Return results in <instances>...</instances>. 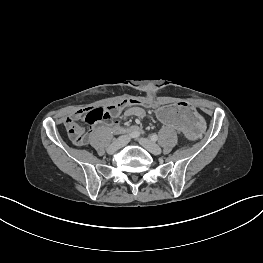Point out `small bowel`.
Wrapping results in <instances>:
<instances>
[{
    "label": "small bowel",
    "instance_id": "obj_1",
    "mask_svg": "<svg viewBox=\"0 0 263 263\" xmlns=\"http://www.w3.org/2000/svg\"><path fill=\"white\" fill-rule=\"evenodd\" d=\"M125 106H127L126 109L124 110V115L125 116H136V117H143V116H145L146 112L141 106L135 105V104H128V105H125ZM125 106L120 107L112 117H116L117 115H119L120 112L123 110V108ZM86 110L87 109H83V110L77 111L74 114V118L80 119L84 115Z\"/></svg>",
    "mask_w": 263,
    "mask_h": 263
}]
</instances>
